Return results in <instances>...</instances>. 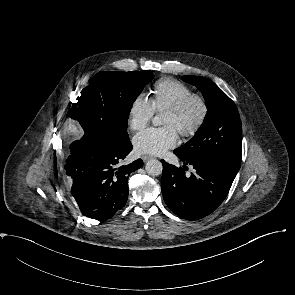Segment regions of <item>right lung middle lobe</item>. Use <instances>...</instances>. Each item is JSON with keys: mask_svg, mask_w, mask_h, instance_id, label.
Segmentation results:
<instances>
[{"mask_svg": "<svg viewBox=\"0 0 295 295\" xmlns=\"http://www.w3.org/2000/svg\"><path fill=\"white\" fill-rule=\"evenodd\" d=\"M152 79L150 71L99 72L70 106L69 117L79 122L84 136L124 145L129 141L127 123L132 105Z\"/></svg>", "mask_w": 295, "mask_h": 295, "instance_id": "dd1d6c3e", "label": "right lung middle lobe"}]
</instances>
